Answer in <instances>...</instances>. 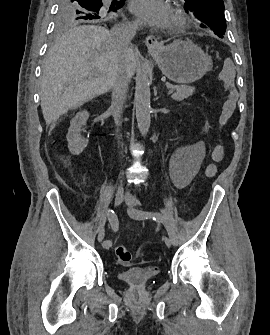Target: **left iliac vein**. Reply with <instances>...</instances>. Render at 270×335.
<instances>
[{"instance_id":"left-iliac-vein-1","label":"left iliac vein","mask_w":270,"mask_h":335,"mask_svg":"<svg viewBox=\"0 0 270 335\" xmlns=\"http://www.w3.org/2000/svg\"><path fill=\"white\" fill-rule=\"evenodd\" d=\"M125 201H126V204L128 206V214L134 218V219H145V217H140V216H137L135 211V206L137 204V201L136 199L129 193L126 194L125 196ZM164 242L165 244L168 246V247H171L172 245V242L169 238L167 237H164Z\"/></svg>"}]
</instances>
